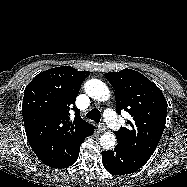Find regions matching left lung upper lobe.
<instances>
[{"label": "left lung upper lobe", "instance_id": "obj_1", "mask_svg": "<svg viewBox=\"0 0 187 187\" xmlns=\"http://www.w3.org/2000/svg\"><path fill=\"white\" fill-rule=\"evenodd\" d=\"M116 93L117 113L127 111L133 118L129 127L116 132L124 148L151 157L163 134L167 102L161 90L141 73L123 69L105 74Z\"/></svg>", "mask_w": 187, "mask_h": 187}]
</instances>
